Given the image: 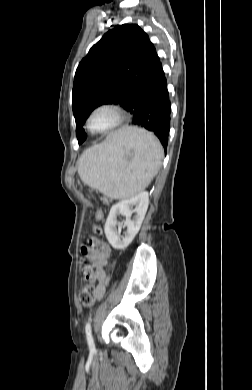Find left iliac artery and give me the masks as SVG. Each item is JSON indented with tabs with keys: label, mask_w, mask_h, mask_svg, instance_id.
<instances>
[{
	"label": "left iliac artery",
	"mask_w": 252,
	"mask_h": 390,
	"mask_svg": "<svg viewBox=\"0 0 252 390\" xmlns=\"http://www.w3.org/2000/svg\"><path fill=\"white\" fill-rule=\"evenodd\" d=\"M85 333H86V338L88 342L89 349L91 351H95V345L92 337V330H91V324L87 323L85 326Z\"/></svg>",
	"instance_id": "left-iliac-artery-1"
}]
</instances>
